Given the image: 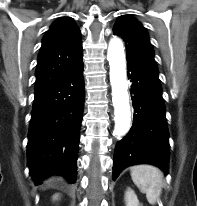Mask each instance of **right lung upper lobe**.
I'll use <instances>...</instances> for the list:
<instances>
[{"label":"right lung upper lobe","instance_id":"1","mask_svg":"<svg viewBox=\"0 0 197 206\" xmlns=\"http://www.w3.org/2000/svg\"><path fill=\"white\" fill-rule=\"evenodd\" d=\"M81 33L73 19L61 17L53 22L42 39L36 69L35 93L72 72L82 61Z\"/></svg>","mask_w":197,"mask_h":206}]
</instances>
